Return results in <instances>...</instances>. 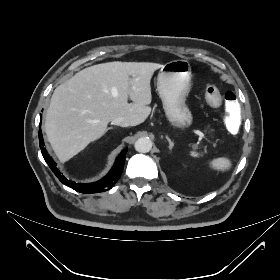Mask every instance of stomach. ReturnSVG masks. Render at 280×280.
Returning a JSON list of instances; mask_svg holds the SVG:
<instances>
[{
	"label": "stomach",
	"instance_id": "1",
	"mask_svg": "<svg viewBox=\"0 0 280 280\" xmlns=\"http://www.w3.org/2000/svg\"><path fill=\"white\" fill-rule=\"evenodd\" d=\"M191 76L189 61L181 59L163 65L157 77V90L166 117L182 127H189L193 120L186 104Z\"/></svg>",
	"mask_w": 280,
	"mask_h": 280
}]
</instances>
